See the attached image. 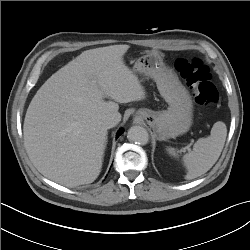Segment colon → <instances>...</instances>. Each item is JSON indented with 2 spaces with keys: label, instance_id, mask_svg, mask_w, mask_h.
Listing matches in <instances>:
<instances>
[{
  "label": "colon",
  "instance_id": "1",
  "mask_svg": "<svg viewBox=\"0 0 250 250\" xmlns=\"http://www.w3.org/2000/svg\"><path fill=\"white\" fill-rule=\"evenodd\" d=\"M175 68L192 90L197 103L201 105H214L219 96L217 89L211 81V74L206 65L199 59H177Z\"/></svg>",
  "mask_w": 250,
  "mask_h": 250
}]
</instances>
